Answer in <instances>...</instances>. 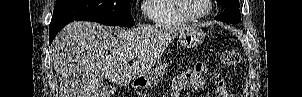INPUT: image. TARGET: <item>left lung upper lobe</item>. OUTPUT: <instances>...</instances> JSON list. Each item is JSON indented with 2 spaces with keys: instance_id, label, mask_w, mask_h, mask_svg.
I'll return each mask as SVG.
<instances>
[{
  "instance_id": "5c2ea615",
  "label": "left lung upper lobe",
  "mask_w": 302,
  "mask_h": 97,
  "mask_svg": "<svg viewBox=\"0 0 302 97\" xmlns=\"http://www.w3.org/2000/svg\"><path fill=\"white\" fill-rule=\"evenodd\" d=\"M225 7L223 13L215 17L216 20L230 23H237L241 20L238 0H217Z\"/></svg>"
}]
</instances>
